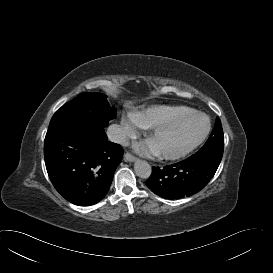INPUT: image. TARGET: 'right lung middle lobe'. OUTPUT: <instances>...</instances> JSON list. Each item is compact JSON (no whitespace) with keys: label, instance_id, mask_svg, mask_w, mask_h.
<instances>
[{"label":"right lung middle lobe","instance_id":"obj_1","mask_svg":"<svg viewBox=\"0 0 273 273\" xmlns=\"http://www.w3.org/2000/svg\"><path fill=\"white\" fill-rule=\"evenodd\" d=\"M60 116L106 127L116 117V110L110 107L104 94L86 92L59 108L52 118Z\"/></svg>","mask_w":273,"mask_h":273}]
</instances>
